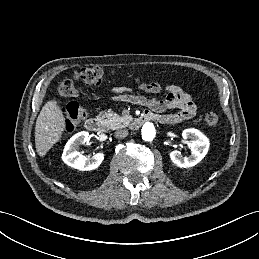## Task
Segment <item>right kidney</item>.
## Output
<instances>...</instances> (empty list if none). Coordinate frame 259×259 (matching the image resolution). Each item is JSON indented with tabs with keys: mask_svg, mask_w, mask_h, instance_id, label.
I'll use <instances>...</instances> for the list:
<instances>
[{
	"mask_svg": "<svg viewBox=\"0 0 259 259\" xmlns=\"http://www.w3.org/2000/svg\"><path fill=\"white\" fill-rule=\"evenodd\" d=\"M88 140L89 133L86 131H81L72 136L66 143L62 154L64 163L81 171L94 170L99 167L104 159L103 153H96L92 158H87L77 152L79 145L86 143Z\"/></svg>",
	"mask_w": 259,
	"mask_h": 259,
	"instance_id": "1",
	"label": "right kidney"
}]
</instances>
